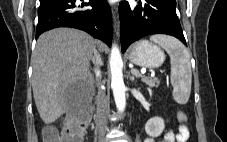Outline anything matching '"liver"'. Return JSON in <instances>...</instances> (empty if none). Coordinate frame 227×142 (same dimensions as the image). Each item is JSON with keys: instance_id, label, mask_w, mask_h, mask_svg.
<instances>
[{"instance_id": "6515ba94", "label": "liver", "mask_w": 227, "mask_h": 142, "mask_svg": "<svg viewBox=\"0 0 227 142\" xmlns=\"http://www.w3.org/2000/svg\"><path fill=\"white\" fill-rule=\"evenodd\" d=\"M100 41L81 30L56 28L43 33L32 54V89L39 115L45 124L55 122L71 106L82 85L91 89L90 60Z\"/></svg>"}]
</instances>
